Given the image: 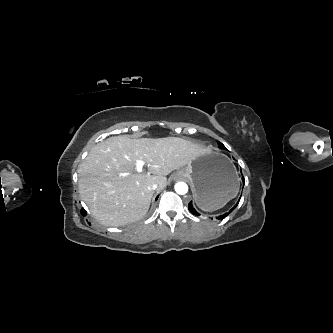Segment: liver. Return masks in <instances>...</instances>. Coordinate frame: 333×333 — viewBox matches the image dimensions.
Instances as JSON below:
<instances>
[{"label":"liver","mask_w":333,"mask_h":333,"mask_svg":"<svg viewBox=\"0 0 333 333\" xmlns=\"http://www.w3.org/2000/svg\"><path fill=\"white\" fill-rule=\"evenodd\" d=\"M208 151L178 137L141 138L114 136L96 144L78 167L79 192L93 217L105 226L119 227L142 219L153 190L166 185V175L186 166ZM149 172H137L136 162ZM121 173H130L127 176Z\"/></svg>","instance_id":"1"}]
</instances>
